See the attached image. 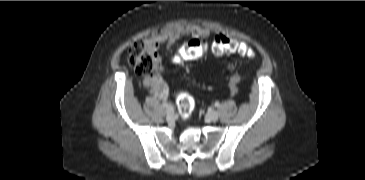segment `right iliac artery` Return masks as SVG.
Returning a JSON list of instances; mask_svg holds the SVG:
<instances>
[{"label":"right iliac artery","instance_id":"obj_1","mask_svg":"<svg viewBox=\"0 0 365 180\" xmlns=\"http://www.w3.org/2000/svg\"><path fill=\"white\" fill-rule=\"evenodd\" d=\"M162 104L164 107H167L169 105L166 101H164Z\"/></svg>","mask_w":365,"mask_h":180}]
</instances>
